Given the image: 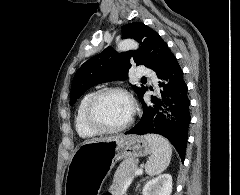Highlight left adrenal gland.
<instances>
[{
  "instance_id": "obj_1",
  "label": "left adrenal gland",
  "mask_w": 240,
  "mask_h": 195,
  "mask_svg": "<svg viewBox=\"0 0 240 195\" xmlns=\"http://www.w3.org/2000/svg\"><path fill=\"white\" fill-rule=\"evenodd\" d=\"M141 181H145L144 177H143V179H140V181H138V183L136 185V191H138L139 185H141Z\"/></svg>"
}]
</instances>
